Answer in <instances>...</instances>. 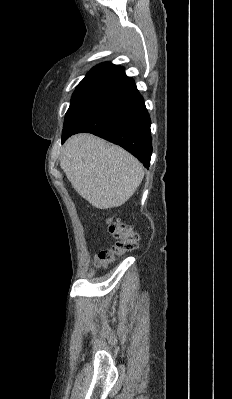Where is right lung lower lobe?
<instances>
[{
    "label": "right lung lower lobe",
    "instance_id": "98d812e1",
    "mask_svg": "<svg viewBox=\"0 0 232 399\" xmlns=\"http://www.w3.org/2000/svg\"><path fill=\"white\" fill-rule=\"evenodd\" d=\"M150 125L134 80L122 72L71 99L62 143L79 132L93 133L120 145L148 168L152 154Z\"/></svg>",
    "mask_w": 232,
    "mask_h": 399
}]
</instances>
